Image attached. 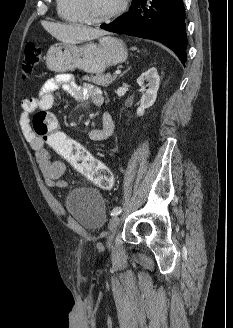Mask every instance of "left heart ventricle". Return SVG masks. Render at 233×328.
Masks as SVG:
<instances>
[{
    "label": "left heart ventricle",
    "mask_w": 233,
    "mask_h": 328,
    "mask_svg": "<svg viewBox=\"0 0 233 328\" xmlns=\"http://www.w3.org/2000/svg\"><path fill=\"white\" fill-rule=\"evenodd\" d=\"M121 0H88L90 14L96 17L104 16L116 9Z\"/></svg>",
    "instance_id": "obj_1"
}]
</instances>
